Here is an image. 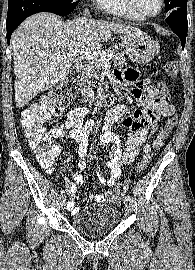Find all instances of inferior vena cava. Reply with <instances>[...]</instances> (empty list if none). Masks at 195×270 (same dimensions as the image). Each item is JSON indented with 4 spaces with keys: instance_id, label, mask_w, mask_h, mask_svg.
Segmentation results:
<instances>
[{
    "instance_id": "inferior-vena-cava-1",
    "label": "inferior vena cava",
    "mask_w": 195,
    "mask_h": 270,
    "mask_svg": "<svg viewBox=\"0 0 195 270\" xmlns=\"http://www.w3.org/2000/svg\"><path fill=\"white\" fill-rule=\"evenodd\" d=\"M84 13H85V15H89L88 9H85ZM83 19H86V18H83Z\"/></svg>"
}]
</instances>
